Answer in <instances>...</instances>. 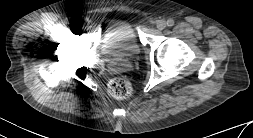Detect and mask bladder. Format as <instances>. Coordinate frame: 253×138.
<instances>
[{
	"instance_id": "31cf9c89",
	"label": "bladder",
	"mask_w": 253,
	"mask_h": 138,
	"mask_svg": "<svg viewBox=\"0 0 253 138\" xmlns=\"http://www.w3.org/2000/svg\"><path fill=\"white\" fill-rule=\"evenodd\" d=\"M99 49L118 62H126L140 54L141 45L135 27L128 22L120 21L105 28Z\"/></svg>"
}]
</instances>
